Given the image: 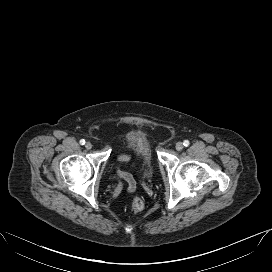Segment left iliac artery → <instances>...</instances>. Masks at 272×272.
Returning <instances> with one entry per match:
<instances>
[{
    "label": "left iliac artery",
    "instance_id": "1",
    "mask_svg": "<svg viewBox=\"0 0 272 272\" xmlns=\"http://www.w3.org/2000/svg\"><path fill=\"white\" fill-rule=\"evenodd\" d=\"M189 144H190V142H189L188 140H184L183 145H184L185 147L189 146Z\"/></svg>",
    "mask_w": 272,
    "mask_h": 272
}]
</instances>
